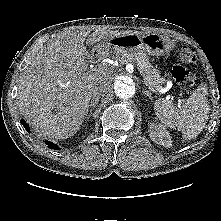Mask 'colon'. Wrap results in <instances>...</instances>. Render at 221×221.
<instances>
[{
    "label": "colon",
    "mask_w": 221,
    "mask_h": 221,
    "mask_svg": "<svg viewBox=\"0 0 221 221\" xmlns=\"http://www.w3.org/2000/svg\"><path fill=\"white\" fill-rule=\"evenodd\" d=\"M179 60L184 65H175L172 68V76L178 84L186 85L193 80V74L185 65H191L196 62L195 53L190 47L184 46L180 50Z\"/></svg>",
    "instance_id": "1"
}]
</instances>
